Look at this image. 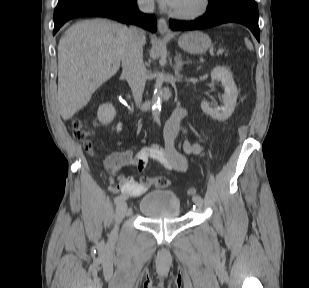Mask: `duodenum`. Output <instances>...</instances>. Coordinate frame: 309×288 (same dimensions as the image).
I'll return each instance as SVG.
<instances>
[{
  "mask_svg": "<svg viewBox=\"0 0 309 288\" xmlns=\"http://www.w3.org/2000/svg\"><path fill=\"white\" fill-rule=\"evenodd\" d=\"M170 97H171V92H170L168 89H166V90H164L163 93L160 95V100H161L162 102H166V101H168V100L170 99Z\"/></svg>",
  "mask_w": 309,
  "mask_h": 288,
  "instance_id": "1",
  "label": "duodenum"
}]
</instances>
